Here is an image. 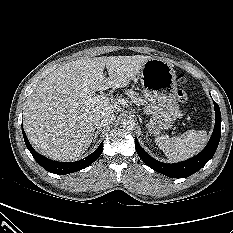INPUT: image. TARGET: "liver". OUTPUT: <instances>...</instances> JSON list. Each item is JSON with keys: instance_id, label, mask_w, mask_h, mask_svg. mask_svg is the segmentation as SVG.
I'll use <instances>...</instances> for the list:
<instances>
[{"instance_id": "1", "label": "liver", "mask_w": 233, "mask_h": 233, "mask_svg": "<svg viewBox=\"0 0 233 233\" xmlns=\"http://www.w3.org/2000/svg\"><path fill=\"white\" fill-rule=\"evenodd\" d=\"M152 57L143 55L82 58L50 73L28 97L24 129L31 144L54 160H74L94 138L93 117L116 112V104L87 103L96 91L126 87ZM106 67L109 77L103 74Z\"/></svg>"}]
</instances>
